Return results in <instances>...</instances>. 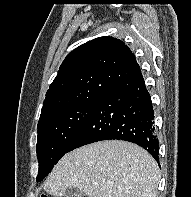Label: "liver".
I'll return each mask as SVG.
<instances>
[{
  "label": "liver",
  "mask_w": 191,
  "mask_h": 197,
  "mask_svg": "<svg viewBox=\"0 0 191 197\" xmlns=\"http://www.w3.org/2000/svg\"><path fill=\"white\" fill-rule=\"evenodd\" d=\"M159 180V166L146 150L106 140L64 155L43 187L53 196L77 188L88 197H157Z\"/></svg>",
  "instance_id": "obj_1"
}]
</instances>
